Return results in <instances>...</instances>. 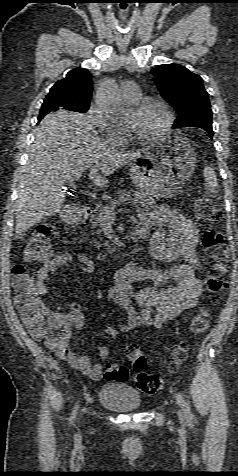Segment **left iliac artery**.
Segmentation results:
<instances>
[{
    "label": "left iliac artery",
    "instance_id": "left-iliac-artery-1",
    "mask_svg": "<svg viewBox=\"0 0 238 476\" xmlns=\"http://www.w3.org/2000/svg\"><path fill=\"white\" fill-rule=\"evenodd\" d=\"M179 405L181 406L185 416H186V419L187 421L192 424L193 422V415H192V412H191V409H190V406L189 404L185 401V399L183 398V396L180 394V393H176L175 395Z\"/></svg>",
    "mask_w": 238,
    "mask_h": 476
}]
</instances>
